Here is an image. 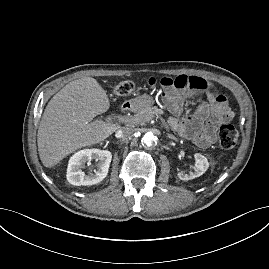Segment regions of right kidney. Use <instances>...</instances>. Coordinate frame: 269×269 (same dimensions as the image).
<instances>
[{"mask_svg":"<svg viewBox=\"0 0 269 269\" xmlns=\"http://www.w3.org/2000/svg\"><path fill=\"white\" fill-rule=\"evenodd\" d=\"M112 154L108 150L84 149L76 152L69 160L67 167V180L70 184L93 185L101 182L108 174ZM95 160L97 163L94 173L85 174L82 170L86 162Z\"/></svg>","mask_w":269,"mask_h":269,"instance_id":"1","label":"right kidney"}]
</instances>
